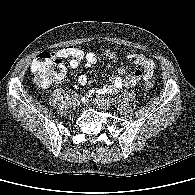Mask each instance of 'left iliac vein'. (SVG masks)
<instances>
[{
    "label": "left iliac vein",
    "instance_id": "obj_1",
    "mask_svg": "<svg viewBox=\"0 0 195 195\" xmlns=\"http://www.w3.org/2000/svg\"><path fill=\"white\" fill-rule=\"evenodd\" d=\"M94 102L97 104V106L100 108V109H103V110H108L110 109V103L107 101V100H104V99H95Z\"/></svg>",
    "mask_w": 195,
    "mask_h": 195
}]
</instances>
